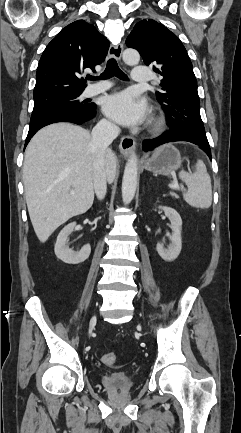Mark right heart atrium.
<instances>
[{
    "instance_id": "1",
    "label": "right heart atrium",
    "mask_w": 241,
    "mask_h": 433,
    "mask_svg": "<svg viewBox=\"0 0 241 433\" xmlns=\"http://www.w3.org/2000/svg\"><path fill=\"white\" fill-rule=\"evenodd\" d=\"M101 127L105 131H111L113 129V126L107 121H102Z\"/></svg>"
}]
</instances>
